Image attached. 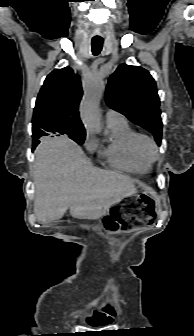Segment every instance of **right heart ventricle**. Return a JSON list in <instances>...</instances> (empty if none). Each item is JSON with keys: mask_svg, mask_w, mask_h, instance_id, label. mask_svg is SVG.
I'll use <instances>...</instances> for the list:
<instances>
[{"mask_svg": "<svg viewBox=\"0 0 194 336\" xmlns=\"http://www.w3.org/2000/svg\"><path fill=\"white\" fill-rule=\"evenodd\" d=\"M109 128L111 135L107 144L98 145L100 156L118 170L134 174L148 172L151 165L143 161L136 151L137 133L127 122Z\"/></svg>", "mask_w": 194, "mask_h": 336, "instance_id": "1", "label": "right heart ventricle"}]
</instances>
